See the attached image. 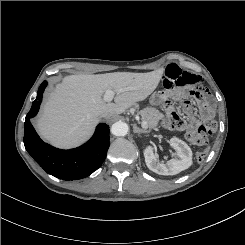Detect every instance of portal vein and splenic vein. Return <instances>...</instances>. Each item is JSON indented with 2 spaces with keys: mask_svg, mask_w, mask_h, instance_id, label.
<instances>
[{
  "mask_svg": "<svg viewBox=\"0 0 245 245\" xmlns=\"http://www.w3.org/2000/svg\"><path fill=\"white\" fill-rule=\"evenodd\" d=\"M124 90L123 89H118L117 91H113V90H107L104 94V100L106 102H110L112 101V99L114 98V95L115 93H121L123 92ZM136 119L139 121V117H136ZM141 126L144 128V129H147L148 128V125L145 121H142L141 122Z\"/></svg>",
  "mask_w": 245,
  "mask_h": 245,
  "instance_id": "obj_1",
  "label": "portal vein and splenic vein"
}]
</instances>
